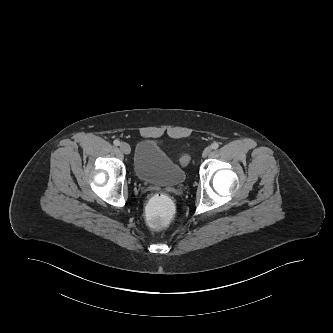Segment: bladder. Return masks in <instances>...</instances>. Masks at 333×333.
Returning <instances> with one entry per match:
<instances>
[{
  "mask_svg": "<svg viewBox=\"0 0 333 333\" xmlns=\"http://www.w3.org/2000/svg\"><path fill=\"white\" fill-rule=\"evenodd\" d=\"M133 168L137 178L148 184L177 187L186 179L185 170L155 141H141L134 154Z\"/></svg>",
  "mask_w": 333,
  "mask_h": 333,
  "instance_id": "31cf9c89",
  "label": "bladder"
}]
</instances>
